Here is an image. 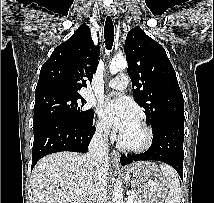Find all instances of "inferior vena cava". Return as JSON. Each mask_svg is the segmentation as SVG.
<instances>
[{
	"instance_id": "obj_1",
	"label": "inferior vena cava",
	"mask_w": 214,
	"mask_h": 203,
	"mask_svg": "<svg viewBox=\"0 0 214 203\" xmlns=\"http://www.w3.org/2000/svg\"><path fill=\"white\" fill-rule=\"evenodd\" d=\"M108 127H99L86 154V164L89 169L91 195L89 203H106L107 173H108Z\"/></svg>"
}]
</instances>
